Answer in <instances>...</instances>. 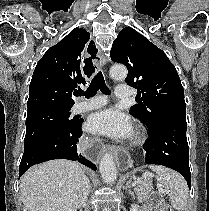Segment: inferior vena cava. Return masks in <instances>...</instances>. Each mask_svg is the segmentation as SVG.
<instances>
[{"mask_svg":"<svg viewBox=\"0 0 209 211\" xmlns=\"http://www.w3.org/2000/svg\"><path fill=\"white\" fill-rule=\"evenodd\" d=\"M89 194V185H88V179L86 178L84 184H83V196H82V202L87 201V196Z\"/></svg>","mask_w":209,"mask_h":211,"instance_id":"inferior-vena-cava-1","label":"inferior vena cava"}]
</instances>
